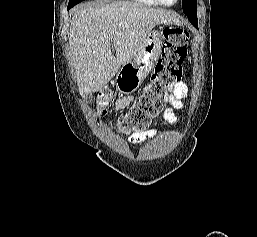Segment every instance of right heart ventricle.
I'll list each match as a JSON object with an SVG mask.
<instances>
[{
  "label": "right heart ventricle",
  "mask_w": 257,
  "mask_h": 237,
  "mask_svg": "<svg viewBox=\"0 0 257 237\" xmlns=\"http://www.w3.org/2000/svg\"><path fill=\"white\" fill-rule=\"evenodd\" d=\"M137 3L143 4V5H148V6H158L160 3L158 0H133Z\"/></svg>",
  "instance_id": "obj_1"
}]
</instances>
